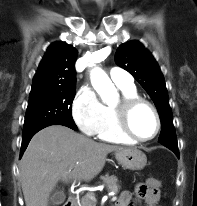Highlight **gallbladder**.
<instances>
[{
  "instance_id": "gallbladder-1",
  "label": "gallbladder",
  "mask_w": 197,
  "mask_h": 206,
  "mask_svg": "<svg viewBox=\"0 0 197 206\" xmlns=\"http://www.w3.org/2000/svg\"><path fill=\"white\" fill-rule=\"evenodd\" d=\"M65 194L63 191H61L59 188H55L53 192L51 193L49 203L50 206H58L62 204L65 201Z\"/></svg>"
}]
</instances>
